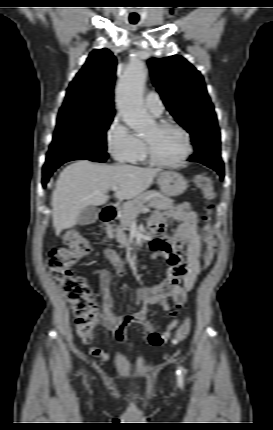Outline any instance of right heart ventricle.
<instances>
[{"label":"right heart ventricle","mask_w":273,"mask_h":430,"mask_svg":"<svg viewBox=\"0 0 273 430\" xmlns=\"http://www.w3.org/2000/svg\"><path fill=\"white\" fill-rule=\"evenodd\" d=\"M143 142V141H142ZM146 160V152H145V144L143 143V147L140 152L136 155L132 162L134 163H143Z\"/></svg>","instance_id":"obj_1"}]
</instances>
